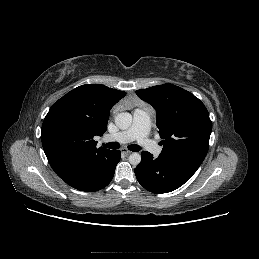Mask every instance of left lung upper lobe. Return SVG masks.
<instances>
[{"label": "left lung upper lobe", "instance_id": "left-lung-upper-lobe-1", "mask_svg": "<svg viewBox=\"0 0 259 259\" xmlns=\"http://www.w3.org/2000/svg\"><path fill=\"white\" fill-rule=\"evenodd\" d=\"M136 94L157 112L161 154L201 164L208 152L212 122L204 104L190 92L163 84Z\"/></svg>", "mask_w": 259, "mask_h": 259}]
</instances>
